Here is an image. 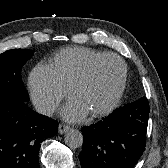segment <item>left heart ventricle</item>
<instances>
[{
	"label": "left heart ventricle",
	"mask_w": 168,
	"mask_h": 168,
	"mask_svg": "<svg viewBox=\"0 0 168 168\" xmlns=\"http://www.w3.org/2000/svg\"><path fill=\"white\" fill-rule=\"evenodd\" d=\"M118 61L107 59L95 69L91 79L79 88L74 96L93 112L104 107L113 97L121 79Z\"/></svg>",
	"instance_id": "1"
}]
</instances>
